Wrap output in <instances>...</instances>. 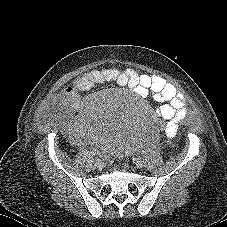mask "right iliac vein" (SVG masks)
I'll use <instances>...</instances> for the list:
<instances>
[{
	"label": "right iliac vein",
	"instance_id": "1",
	"mask_svg": "<svg viewBox=\"0 0 227 227\" xmlns=\"http://www.w3.org/2000/svg\"><path fill=\"white\" fill-rule=\"evenodd\" d=\"M95 166L99 169H101L103 167V162L101 159H96L95 161Z\"/></svg>",
	"mask_w": 227,
	"mask_h": 227
}]
</instances>
